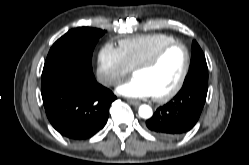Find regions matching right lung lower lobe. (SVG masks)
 <instances>
[{"label": "right lung lower lobe", "instance_id": "98d812e1", "mask_svg": "<svg viewBox=\"0 0 249 165\" xmlns=\"http://www.w3.org/2000/svg\"><path fill=\"white\" fill-rule=\"evenodd\" d=\"M41 93L47 117L63 136L82 140L101 130L116 96L94 76L61 63L45 64Z\"/></svg>", "mask_w": 249, "mask_h": 165}]
</instances>
